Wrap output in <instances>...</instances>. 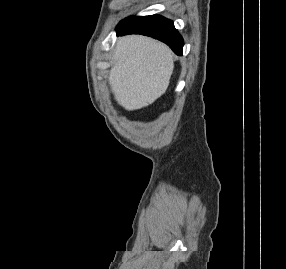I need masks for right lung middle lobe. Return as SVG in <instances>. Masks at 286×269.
<instances>
[{
  "label": "right lung middle lobe",
  "mask_w": 286,
  "mask_h": 269,
  "mask_svg": "<svg viewBox=\"0 0 286 269\" xmlns=\"http://www.w3.org/2000/svg\"><path fill=\"white\" fill-rule=\"evenodd\" d=\"M137 18H139V17H129V18H127V19L121 21V22L119 23L117 29H118V28L125 27V26L131 24V23H132L133 21H135Z\"/></svg>",
  "instance_id": "right-lung-middle-lobe-1"
}]
</instances>
